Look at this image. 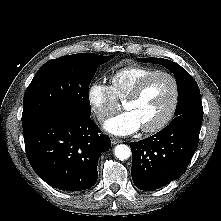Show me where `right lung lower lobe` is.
<instances>
[{"instance_id":"1","label":"right lung lower lobe","mask_w":221,"mask_h":221,"mask_svg":"<svg viewBox=\"0 0 221 221\" xmlns=\"http://www.w3.org/2000/svg\"><path fill=\"white\" fill-rule=\"evenodd\" d=\"M28 160L36 174L52 187L81 191L97 178L98 159L111 147L90 117L68 112L44 115L23 127Z\"/></svg>"}]
</instances>
